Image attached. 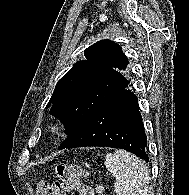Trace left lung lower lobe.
Returning a JSON list of instances; mask_svg holds the SVG:
<instances>
[{"mask_svg": "<svg viewBox=\"0 0 189 195\" xmlns=\"http://www.w3.org/2000/svg\"><path fill=\"white\" fill-rule=\"evenodd\" d=\"M128 86L111 96L58 147L100 146L125 149L148 162L147 137L137 97Z\"/></svg>", "mask_w": 189, "mask_h": 195, "instance_id": "1", "label": "left lung lower lobe"}]
</instances>
